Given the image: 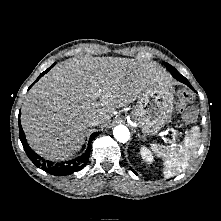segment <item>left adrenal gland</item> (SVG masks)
Segmentation results:
<instances>
[{
  "label": "left adrenal gland",
  "mask_w": 221,
  "mask_h": 221,
  "mask_svg": "<svg viewBox=\"0 0 221 221\" xmlns=\"http://www.w3.org/2000/svg\"><path fill=\"white\" fill-rule=\"evenodd\" d=\"M138 138H144L143 136H141L139 133H137Z\"/></svg>",
  "instance_id": "left-adrenal-gland-1"
}]
</instances>
